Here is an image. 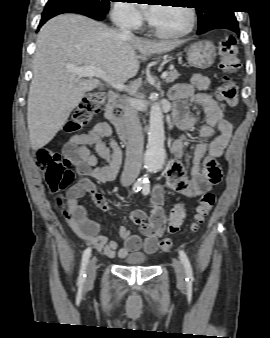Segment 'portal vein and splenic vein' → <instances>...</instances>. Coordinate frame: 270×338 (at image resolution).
Segmentation results:
<instances>
[{
    "label": "portal vein and splenic vein",
    "mask_w": 270,
    "mask_h": 338,
    "mask_svg": "<svg viewBox=\"0 0 270 338\" xmlns=\"http://www.w3.org/2000/svg\"><path fill=\"white\" fill-rule=\"evenodd\" d=\"M67 72L73 73L79 77H97L101 78L111 84L112 87L119 91L126 90V86L124 84L115 83L111 81V79L107 76L106 72L100 68L92 67V66H84V67H73L68 66L66 68ZM168 76V72L165 71L161 75V79H165Z\"/></svg>",
    "instance_id": "portal-vein-and-splenic-vein-1"
}]
</instances>
